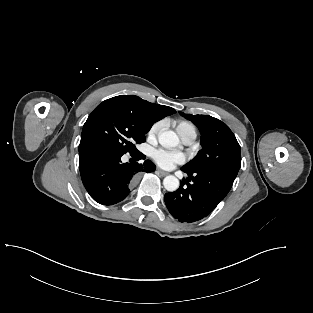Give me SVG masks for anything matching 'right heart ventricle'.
I'll return each instance as SVG.
<instances>
[{
    "mask_svg": "<svg viewBox=\"0 0 313 313\" xmlns=\"http://www.w3.org/2000/svg\"><path fill=\"white\" fill-rule=\"evenodd\" d=\"M175 128L182 139L187 137H192L193 139H195L197 136V129L195 125L189 121H177L175 123Z\"/></svg>",
    "mask_w": 313,
    "mask_h": 313,
    "instance_id": "1",
    "label": "right heart ventricle"
}]
</instances>
